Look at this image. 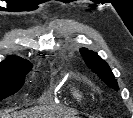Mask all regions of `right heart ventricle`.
Returning <instances> with one entry per match:
<instances>
[{"label":"right heart ventricle","instance_id":"right-heart-ventricle-1","mask_svg":"<svg viewBox=\"0 0 133 118\" xmlns=\"http://www.w3.org/2000/svg\"><path fill=\"white\" fill-rule=\"evenodd\" d=\"M69 91H70L72 98L76 102L83 103L85 101V99H86L85 93L79 85H77V84L70 85Z\"/></svg>","mask_w":133,"mask_h":118}]
</instances>
